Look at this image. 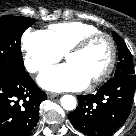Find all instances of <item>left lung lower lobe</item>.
Returning <instances> with one entry per match:
<instances>
[{
  "label": "left lung lower lobe",
  "mask_w": 136,
  "mask_h": 136,
  "mask_svg": "<svg viewBox=\"0 0 136 136\" xmlns=\"http://www.w3.org/2000/svg\"><path fill=\"white\" fill-rule=\"evenodd\" d=\"M136 75L115 76L96 94L78 96L76 110L69 114L73 126L89 136H109L130 114Z\"/></svg>",
  "instance_id": "1"
}]
</instances>
